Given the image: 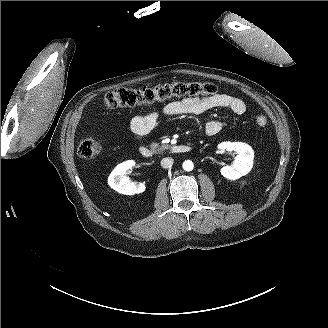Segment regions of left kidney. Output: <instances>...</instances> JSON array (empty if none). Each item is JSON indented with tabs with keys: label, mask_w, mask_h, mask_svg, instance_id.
Instances as JSON below:
<instances>
[{
	"label": "left kidney",
	"mask_w": 328,
	"mask_h": 328,
	"mask_svg": "<svg viewBox=\"0 0 328 328\" xmlns=\"http://www.w3.org/2000/svg\"><path fill=\"white\" fill-rule=\"evenodd\" d=\"M218 148L237 154L231 165L224 166L220 170L221 175L227 180H238L253 169L254 150L250 145L243 142H224Z\"/></svg>",
	"instance_id": "obj_1"
}]
</instances>
